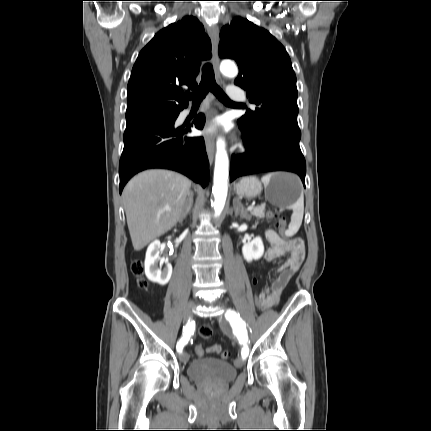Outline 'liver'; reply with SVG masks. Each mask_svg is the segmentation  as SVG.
Returning a JSON list of instances; mask_svg holds the SVG:
<instances>
[{"instance_id":"1","label":"liver","mask_w":431,"mask_h":431,"mask_svg":"<svg viewBox=\"0 0 431 431\" xmlns=\"http://www.w3.org/2000/svg\"><path fill=\"white\" fill-rule=\"evenodd\" d=\"M190 186L187 177L168 170H147L128 182L122 198L136 251L179 222Z\"/></svg>"}]
</instances>
